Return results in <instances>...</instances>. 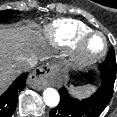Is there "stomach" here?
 <instances>
[{"instance_id":"1","label":"stomach","mask_w":117,"mask_h":117,"mask_svg":"<svg viewBox=\"0 0 117 117\" xmlns=\"http://www.w3.org/2000/svg\"><path fill=\"white\" fill-rule=\"evenodd\" d=\"M58 69H59V70H63V65H59V66H58Z\"/></svg>"}]
</instances>
